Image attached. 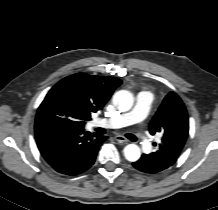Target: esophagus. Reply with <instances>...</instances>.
Returning <instances> with one entry per match:
<instances>
[{
    "mask_svg": "<svg viewBox=\"0 0 218 210\" xmlns=\"http://www.w3.org/2000/svg\"><path fill=\"white\" fill-rule=\"evenodd\" d=\"M114 139H115L117 142H119V143H127V142H128V140H127L125 137L121 136V135H116V136L114 137Z\"/></svg>",
    "mask_w": 218,
    "mask_h": 210,
    "instance_id": "obj_1",
    "label": "esophagus"
}]
</instances>
